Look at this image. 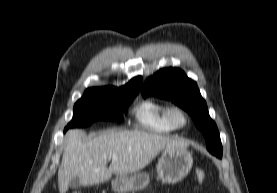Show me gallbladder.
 Listing matches in <instances>:
<instances>
[{"label": "gallbladder", "mask_w": 277, "mask_h": 193, "mask_svg": "<svg viewBox=\"0 0 277 193\" xmlns=\"http://www.w3.org/2000/svg\"><path fill=\"white\" fill-rule=\"evenodd\" d=\"M69 185H70L71 188L76 189V188H79L81 186V182H80L78 177H75L70 181Z\"/></svg>", "instance_id": "1"}]
</instances>
